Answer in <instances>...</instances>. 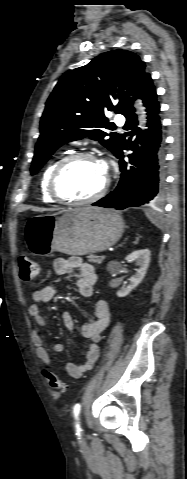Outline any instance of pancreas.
<instances>
[{"instance_id": "cf45deb5", "label": "pancreas", "mask_w": 187, "mask_h": 479, "mask_svg": "<svg viewBox=\"0 0 187 479\" xmlns=\"http://www.w3.org/2000/svg\"><path fill=\"white\" fill-rule=\"evenodd\" d=\"M89 261H91L95 264H100V263L103 262V259L100 256L91 255V256H89Z\"/></svg>"}]
</instances>
